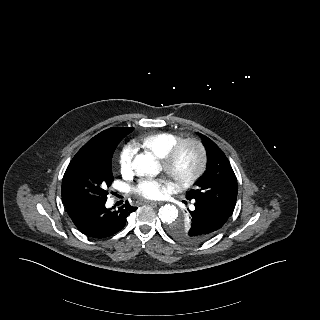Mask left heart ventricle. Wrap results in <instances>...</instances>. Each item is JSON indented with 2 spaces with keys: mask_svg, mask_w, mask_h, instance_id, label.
<instances>
[{
  "mask_svg": "<svg viewBox=\"0 0 320 320\" xmlns=\"http://www.w3.org/2000/svg\"><path fill=\"white\" fill-rule=\"evenodd\" d=\"M197 165V153L196 150L187 146L183 149L179 160L176 165V172L179 176H186L190 174Z\"/></svg>",
  "mask_w": 320,
  "mask_h": 320,
  "instance_id": "1",
  "label": "left heart ventricle"
}]
</instances>
